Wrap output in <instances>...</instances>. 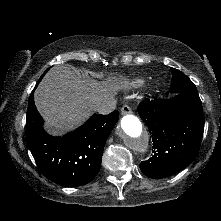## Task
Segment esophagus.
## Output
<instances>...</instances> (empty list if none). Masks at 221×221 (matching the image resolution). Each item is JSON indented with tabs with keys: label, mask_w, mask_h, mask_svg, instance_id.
<instances>
[{
	"label": "esophagus",
	"mask_w": 221,
	"mask_h": 221,
	"mask_svg": "<svg viewBox=\"0 0 221 221\" xmlns=\"http://www.w3.org/2000/svg\"><path fill=\"white\" fill-rule=\"evenodd\" d=\"M130 113H132V109L128 105H124L121 108V114L122 115L130 114Z\"/></svg>",
	"instance_id": "esophagus-1"
}]
</instances>
